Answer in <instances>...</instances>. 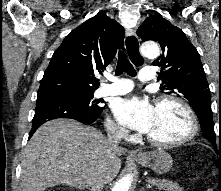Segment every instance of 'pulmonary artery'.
Segmentation results:
<instances>
[{"label":"pulmonary artery","mask_w":221,"mask_h":191,"mask_svg":"<svg viewBox=\"0 0 221 191\" xmlns=\"http://www.w3.org/2000/svg\"><path fill=\"white\" fill-rule=\"evenodd\" d=\"M139 79L142 82H152L156 73L151 67H144L139 72ZM113 83L102 85L97 91V97L114 96L125 94L132 90L133 82L129 79L112 78Z\"/></svg>","instance_id":"e3ab8cb5"}]
</instances>
